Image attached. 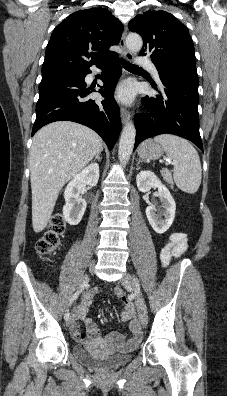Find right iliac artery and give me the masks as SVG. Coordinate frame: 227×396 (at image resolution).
I'll list each match as a JSON object with an SVG mask.
<instances>
[{
	"label": "right iliac artery",
	"mask_w": 227,
	"mask_h": 396,
	"mask_svg": "<svg viewBox=\"0 0 227 396\" xmlns=\"http://www.w3.org/2000/svg\"><path fill=\"white\" fill-rule=\"evenodd\" d=\"M81 292H82V289L76 291V292L73 294V296L71 297V299H70V301H69V304H68V307H67V309H66V311H65V314H64V319H65L66 321H67V320L69 319V317H70L69 307H70V306L72 305V303L78 298V296L81 294Z\"/></svg>",
	"instance_id": "1"
}]
</instances>
